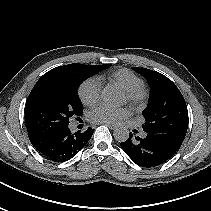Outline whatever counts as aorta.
Wrapping results in <instances>:
<instances>
[{
	"instance_id": "obj_1",
	"label": "aorta",
	"mask_w": 211,
	"mask_h": 211,
	"mask_svg": "<svg viewBox=\"0 0 211 211\" xmlns=\"http://www.w3.org/2000/svg\"><path fill=\"white\" fill-rule=\"evenodd\" d=\"M101 98L105 104L111 106H117L122 103L120 95L109 88H105L102 91ZM113 135L118 142H125L129 138V131L126 128H118Z\"/></svg>"
}]
</instances>
